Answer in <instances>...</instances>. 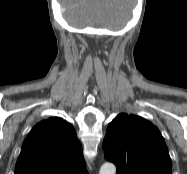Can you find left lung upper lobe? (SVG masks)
I'll list each match as a JSON object with an SVG mask.
<instances>
[{
  "label": "left lung upper lobe",
  "mask_w": 187,
  "mask_h": 174,
  "mask_svg": "<svg viewBox=\"0 0 187 174\" xmlns=\"http://www.w3.org/2000/svg\"><path fill=\"white\" fill-rule=\"evenodd\" d=\"M117 174H172L165 140L151 122L119 114L108 125L102 145Z\"/></svg>",
  "instance_id": "1"
}]
</instances>
